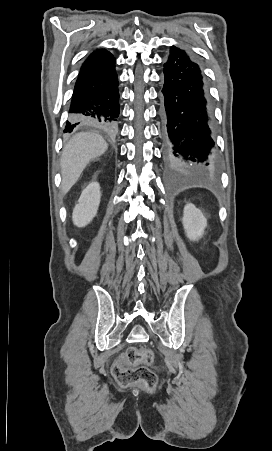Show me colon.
<instances>
[{
    "label": "colon",
    "instance_id": "colon-1",
    "mask_svg": "<svg viewBox=\"0 0 272 451\" xmlns=\"http://www.w3.org/2000/svg\"><path fill=\"white\" fill-rule=\"evenodd\" d=\"M153 357V350L139 352L136 349H129L124 356L116 358L113 373L122 385L139 384L148 391H154L158 386V380L155 373L150 370Z\"/></svg>",
    "mask_w": 272,
    "mask_h": 451
}]
</instances>
